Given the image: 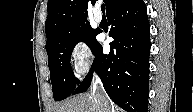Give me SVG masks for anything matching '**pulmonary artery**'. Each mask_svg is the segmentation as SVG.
Wrapping results in <instances>:
<instances>
[{
    "label": "pulmonary artery",
    "instance_id": "obj_1",
    "mask_svg": "<svg viewBox=\"0 0 193 112\" xmlns=\"http://www.w3.org/2000/svg\"><path fill=\"white\" fill-rule=\"evenodd\" d=\"M94 19L97 23H101L102 22V15L99 11H96L94 14Z\"/></svg>",
    "mask_w": 193,
    "mask_h": 112
}]
</instances>
